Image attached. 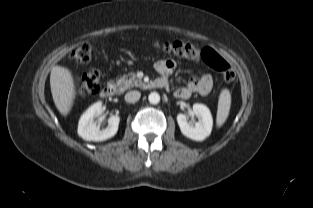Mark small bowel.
I'll return each instance as SVG.
<instances>
[{"instance_id": "obj_1", "label": "small bowel", "mask_w": 313, "mask_h": 208, "mask_svg": "<svg viewBox=\"0 0 313 208\" xmlns=\"http://www.w3.org/2000/svg\"><path fill=\"white\" fill-rule=\"evenodd\" d=\"M175 66V62L171 59H163L155 63V69L161 75L160 79L166 82L168 77L174 72ZM212 87L213 79L210 75H204L200 78L192 77L187 86L175 91V96L180 99H188L194 93L205 96L210 93Z\"/></svg>"}]
</instances>
